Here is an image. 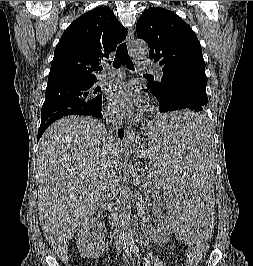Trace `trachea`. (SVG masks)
<instances>
[{
    "label": "trachea",
    "instance_id": "1",
    "mask_svg": "<svg viewBox=\"0 0 253 266\" xmlns=\"http://www.w3.org/2000/svg\"><path fill=\"white\" fill-rule=\"evenodd\" d=\"M122 64L126 65V67L128 69L134 71V65H133L132 60L129 57L126 43H121L118 46V48L116 50L115 59L113 62V67L119 68ZM148 76H150V75H148Z\"/></svg>",
    "mask_w": 253,
    "mask_h": 266
}]
</instances>
